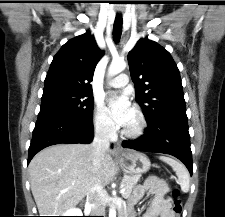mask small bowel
Wrapping results in <instances>:
<instances>
[{
  "label": "small bowel",
  "mask_w": 225,
  "mask_h": 217,
  "mask_svg": "<svg viewBox=\"0 0 225 217\" xmlns=\"http://www.w3.org/2000/svg\"><path fill=\"white\" fill-rule=\"evenodd\" d=\"M166 191L167 186L163 180L156 176H149L142 185L135 188L129 199V207L132 208L144 195H151L153 198L146 217H155L156 214H160V217H175L171 203L165 199ZM128 217H134L133 212Z\"/></svg>",
  "instance_id": "1"
}]
</instances>
